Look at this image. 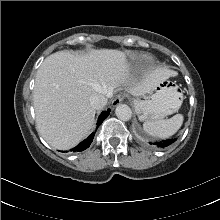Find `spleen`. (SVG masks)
Wrapping results in <instances>:
<instances>
[{
    "label": "spleen",
    "instance_id": "obj_1",
    "mask_svg": "<svg viewBox=\"0 0 220 220\" xmlns=\"http://www.w3.org/2000/svg\"><path fill=\"white\" fill-rule=\"evenodd\" d=\"M183 124V115L176 114L170 119L158 121H146L143 124L144 131L151 136L168 138L174 135Z\"/></svg>",
    "mask_w": 220,
    "mask_h": 220
}]
</instances>
